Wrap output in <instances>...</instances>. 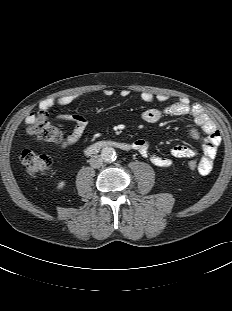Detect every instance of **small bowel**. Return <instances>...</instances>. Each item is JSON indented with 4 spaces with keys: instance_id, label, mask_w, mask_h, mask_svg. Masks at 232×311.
I'll use <instances>...</instances> for the list:
<instances>
[{
    "instance_id": "c3829d8e",
    "label": "small bowel",
    "mask_w": 232,
    "mask_h": 311,
    "mask_svg": "<svg viewBox=\"0 0 232 311\" xmlns=\"http://www.w3.org/2000/svg\"><path fill=\"white\" fill-rule=\"evenodd\" d=\"M104 96L110 97L113 92L110 89L103 91ZM83 94L73 93L61 96H51L41 101L40 108L47 110L53 106H66L73 103ZM122 97H128L130 91L123 89L120 91ZM141 100L151 102L155 99L159 101H167L168 96L164 94H153L149 91H142L140 93ZM164 115L169 116H190L196 128L190 130V135L195 140H200L202 145L203 156L200 161L199 171L202 174L210 172L213 160L216 156L217 147L221 141V134L216 124L209 118L205 110L197 104H190L187 99H180L179 101L169 104L164 108H149L142 113V119L146 123H156ZM56 120L72 122L74 124L73 130L60 143L61 148H65L77 143L83 136L87 125V118L79 113L61 114L56 116ZM36 116L30 114L26 117L25 123L31 126L35 123ZM203 133V137L201 136ZM132 148L144 157H148L153 165L159 168H168L172 166L173 160L169 157L160 156L150 152L149 144L144 139H137L132 143ZM196 150L188 145L178 144L172 147L171 155L175 158H191L196 155Z\"/></svg>"
}]
</instances>
